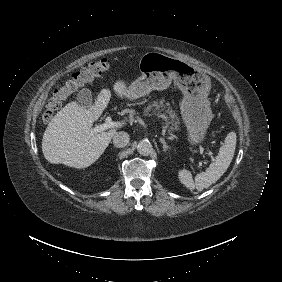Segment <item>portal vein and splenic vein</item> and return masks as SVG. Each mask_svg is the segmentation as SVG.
<instances>
[{
  "mask_svg": "<svg viewBox=\"0 0 282 282\" xmlns=\"http://www.w3.org/2000/svg\"><path fill=\"white\" fill-rule=\"evenodd\" d=\"M123 124L124 123H122V122H114V121H112L111 117H106L105 123L96 126L93 129V132L100 133V132H103V131H105L107 129H110V128L122 127ZM196 148L202 150L203 152H205L210 157L211 161L215 160L213 152L210 151L209 149H207L204 145L197 144Z\"/></svg>",
  "mask_w": 282,
  "mask_h": 282,
  "instance_id": "1",
  "label": "portal vein and splenic vein"
}]
</instances>
